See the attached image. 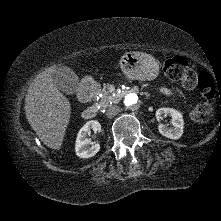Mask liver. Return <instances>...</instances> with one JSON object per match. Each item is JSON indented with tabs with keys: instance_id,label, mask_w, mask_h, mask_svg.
<instances>
[{
	"instance_id": "6515ba94",
	"label": "liver",
	"mask_w": 221,
	"mask_h": 221,
	"mask_svg": "<svg viewBox=\"0 0 221 221\" xmlns=\"http://www.w3.org/2000/svg\"><path fill=\"white\" fill-rule=\"evenodd\" d=\"M57 66L40 73L28 88L25 113L30 126L49 148L59 150L71 116L69 100L52 81Z\"/></svg>"
}]
</instances>
